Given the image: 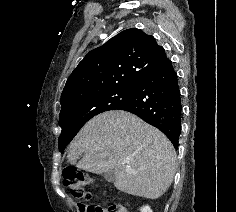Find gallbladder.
<instances>
[{"label": "gallbladder", "mask_w": 236, "mask_h": 212, "mask_svg": "<svg viewBox=\"0 0 236 212\" xmlns=\"http://www.w3.org/2000/svg\"><path fill=\"white\" fill-rule=\"evenodd\" d=\"M103 177L108 182H114V180H115V172H114V170H110V171L105 172L103 174Z\"/></svg>", "instance_id": "bac80fb5"}]
</instances>
